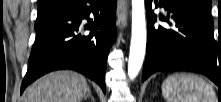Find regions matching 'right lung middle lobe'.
<instances>
[{"label": "right lung middle lobe", "instance_id": "dd1d6c3e", "mask_svg": "<svg viewBox=\"0 0 221 102\" xmlns=\"http://www.w3.org/2000/svg\"><path fill=\"white\" fill-rule=\"evenodd\" d=\"M71 4H72V2L68 1V2H64V3H60L56 6L38 9V15H37L35 27H38L41 24H43L44 22H46L47 20L55 17L61 11L68 8Z\"/></svg>", "mask_w": 221, "mask_h": 102}]
</instances>
